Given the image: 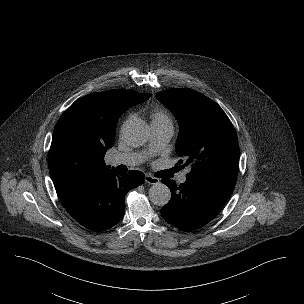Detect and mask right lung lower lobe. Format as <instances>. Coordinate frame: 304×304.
<instances>
[{"label": "right lung lower lobe", "instance_id": "right-lung-lower-lobe-1", "mask_svg": "<svg viewBox=\"0 0 304 304\" xmlns=\"http://www.w3.org/2000/svg\"><path fill=\"white\" fill-rule=\"evenodd\" d=\"M145 180L142 172L127 174L107 169L72 202L65 205L70 215L84 227L101 232L117 224L124 216L126 193Z\"/></svg>", "mask_w": 304, "mask_h": 304}]
</instances>
